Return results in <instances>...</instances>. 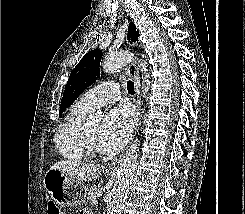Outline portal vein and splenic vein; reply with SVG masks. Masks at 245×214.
Returning a JSON list of instances; mask_svg holds the SVG:
<instances>
[{
  "label": "portal vein and splenic vein",
  "instance_id": "18ae733b",
  "mask_svg": "<svg viewBox=\"0 0 245 214\" xmlns=\"http://www.w3.org/2000/svg\"><path fill=\"white\" fill-rule=\"evenodd\" d=\"M102 196V193L101 192H98L97 193V197H101Z\"/></svg>",
  "mask_w": 245,
  "mask_h": 214
}]
</instances>
